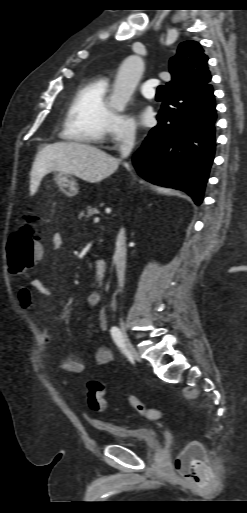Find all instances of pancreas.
Returning a JSON list of instances; mask_svg holds the SVG:
<instances>
[{
    "mask_svg": "<svg viewBox=\"0 0 247 513\" xmlns=\"http://www.w3.org/2000/svg\"><path fill=\"white\" fill-rule=\"evenodd\" d=\"M95 214H98L97 208H93L91 206H88L86 208V211L83 210V211L80 212L79 219L84 218V220L87 221L90 217H92Z\"/></svg>",
    "mask_w": 247,
    "mask_h": 513,
    "instance_id": "cf45deb5",
    "label": "pancreas"
}]
</instances>
